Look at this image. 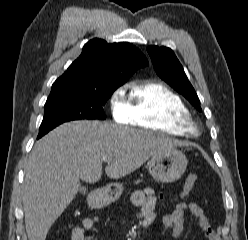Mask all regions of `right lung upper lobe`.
Listing matches in <instances>:
<instances>
[{"instance_id":"right-lung-upper-lobe-1","label":"right lung upper lobe","mask_w":248,"mask_h":240,"mask_svg":"<svg viewBox=\"0 0 248 240\" xmlns=\"http://www.w3.org/2000/svg\"><path fill=\"white\" fill-rule=\"evenodd\" d=\"M148 61L131 43H107L103 39L87 42L82 54L52 85L64 88H118Z\"/></svg>"}]
</instances>
